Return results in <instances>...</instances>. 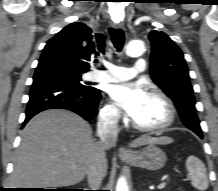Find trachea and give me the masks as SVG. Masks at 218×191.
I'll return each mask as SVG.
<instances>
[{"label":"trachea","instance_id":"trachea-1","mask_svg":"<svg viewBox=\"0 0 218 191\" xmlns=\"http://www.w3.org/2000/svg\"><path fill=\"white\" fill-rule=\"evenodd\" d=\"M109 33L115 48L120 52L125 41L124 32L121 29L109 28Z\"/></svg>","mask_w":218,"mask_h":191}]
</instances>
